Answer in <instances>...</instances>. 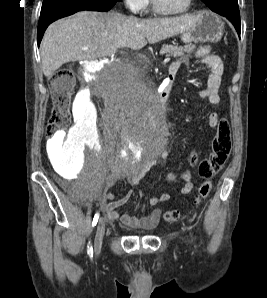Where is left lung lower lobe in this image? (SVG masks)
<instances>
[{
    "instance_id": "1",
    "label": "left lung lower lobe",
    "mask_w": 267,
    "mask_h": 298,
    "mask_svg": "<svg viewBox=\"0 0 267 298\" xmlns=\"http://www.w3.org/2000/svg\"><path fill=\"white\" fill-rule=\"evenodd\" d=\"M216 13L228 18L240 35V13L238 7H231L226 11H218Z\"/></svg>"
}]
</instances>
